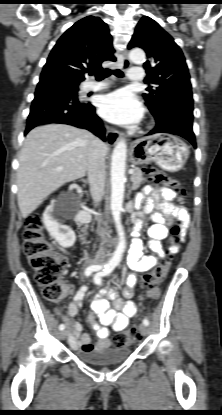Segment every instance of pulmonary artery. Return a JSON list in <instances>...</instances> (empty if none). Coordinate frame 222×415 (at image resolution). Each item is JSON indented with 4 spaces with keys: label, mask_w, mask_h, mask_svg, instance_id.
<instances>
[{
    "label": "pulmonary artery",
    "mask_w": 222,
    "mask_h": 415,
    "mask_svg": "<svg viewBox=\"0 0 222 415\" xmlns=\"http://www.w3.org/2000/svg\"><path fill=\"white\" fill-rule=\"evenodd\" d=\"M144 77V70L142 67H132L130 68L129 72H128V78L130 81L132 82H140L143 80ZM106 87L105 83H99V84H95V83H90L87 82L82 86V91L83 92H89V91H99L103 88Z\"/></svg>",
    "instance_id": "1"
}]
</instances>
